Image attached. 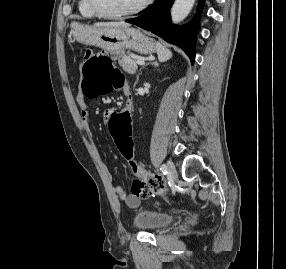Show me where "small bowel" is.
I'll return each instance as SVG.
<instances>
[{"label": "small bowel", "instance_id": "c3829d8e", "mask_svg": "<svg viewBox=\"0 0 286 269\" xmlns=\"http://www.w3.org/2000/svg\"><path fill=\"white\" fill-rule=\"evenodd\" d=\"M124 84V83H123ZM123 87V86H122ZM124 92L127 97V102L125 107H127V111L133 110V102L131 98V94L128 88L124 87ZM78 102L81 108L80 117L83 125L89 129L90 128V113L87 109L86 103L82 97L78 98ZM114 108H106V111H100V122L101 123H108V116L113 113ZM142 173H145V170L141 168ZM107 178L111 182L113 177L110 172H107ZM113 192L115 196L123 201L127 206L130 208H137L141 203V197L135 195H128L122 186H115L113 188Z\"/></svg>", "mask_w": 286, "mask_h": 269}]
</instances>
